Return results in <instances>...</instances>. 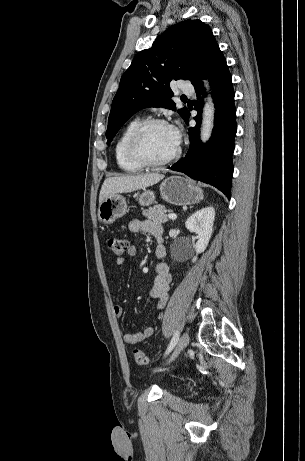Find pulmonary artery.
Segmentation results:
<instances>
[{
    "label": "pulmonary artery",
    "mask_w": 305,
    "mask_h": 461,
    "mask_svg": "<svg viewBox=\"0 0 305 461\" xmlns=\"http://www.w3.org/2000/svg\"><path fill=\"white\" fill-rule=\"evenodd\" d=\"M181 91H182L183 93H186V94H192L193 91H194V89H193L192 86H190V85H188V84H183V85L181 86Z\"/></svg>",
    "instance_id": "obj_1"
}]
</instances>
